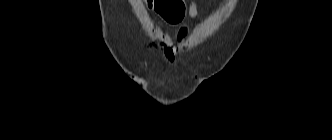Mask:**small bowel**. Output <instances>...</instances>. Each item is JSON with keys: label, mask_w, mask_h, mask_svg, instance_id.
<instances>
[{"label": "small bowel", "mask_w": 332, "mask_h": 140, "mask_svg": "<svg viewBox=\"0 0 332 140\" xmlns=\"http://www.w3.org/2000/svg\"><path fill=\"white\" fill-rule=\"evenodd\" d=\"M198 1L199 0H191L190 6H189L188 15H189V18L193 21H196V19L198 17ZM182 19L175 21V22H170V21H168V22L171 24H178L182 21ZM188 30L189 29L186 25H182L178 29L175 40H173L169 37H165L163 39V43H162L163 52H164L166 58L169 60V62L173 63L176 60L178 46L181 44L183 39L188 34Z\"/></svg>", "instance_id": "c3829d8e"}]
</instances>
